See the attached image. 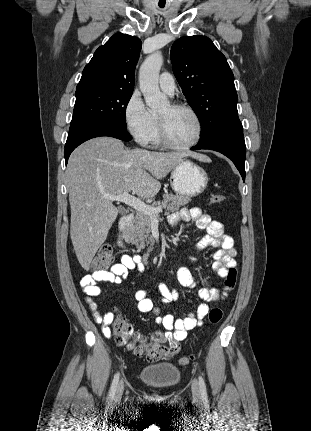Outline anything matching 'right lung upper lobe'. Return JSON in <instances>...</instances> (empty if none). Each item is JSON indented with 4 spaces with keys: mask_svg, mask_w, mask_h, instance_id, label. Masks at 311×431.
I'll list each match as a JSON object with an SVG mask.
<instances>
[{
    "mask_svg": "<svg viewBox=\"0 0 311 431\" xmlns=\"http://www.w3.org/2000/svg\"><path fill=\"white\" fill-rule=\"evenodd\" d=\"M141 40L117 33L94 53L85 66L76 91L90 88L133 92L134 71Z\"/></svg>",
    "mask_w": 311,
    "mask_h": 431,
    "instance_id": "obj_1",
    "label": "right lung upper lobe"
}]
</instances>
